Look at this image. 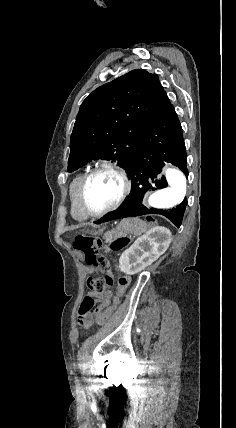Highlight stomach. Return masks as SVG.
<instances>
[{
  "label": "stomach",
  "instance_id": "1",
  "mask_svg": "<svg viewBox=\"0 0 236 428\" xmlns=\"http://www.w3.org/2000/svg\"><path fill=\"white\" fill-rule=\"evenodd\" d=\"M102 232H103V230H99V232H94V236H97V234H98V236H100V234H102Z\"/></svg>",
  "mask_w": 236,
  "mask_h": 428
}]
</instances>
